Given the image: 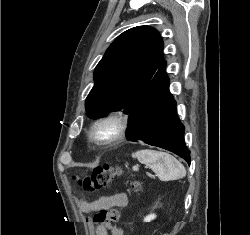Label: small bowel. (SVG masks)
<instances>
[{
  "instance_id": "c3829d8e",
  "label": "small bowel",
  "mask_w": 250,
  "mask_h": 235,
  "mask_svg": "<svg viewBox=\"0 0 250 235\" xmlns=\"http://www.w3.org/2000/svg\"><path fill=\"white\" fill-rule=\"evenodd\" d=\"M129 203V197L126 193H116L113 195L103 196L99 200L83 205V210L85 212H93L101 209H106L110 207H120L125 208ZM95 235H123V230L112 224H99L94 223Z\"/></svg>"
}]
</instances>
